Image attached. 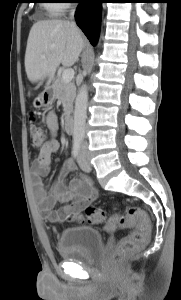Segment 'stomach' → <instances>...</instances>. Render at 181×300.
<instances>
[{"mask_svg":"<svg viewBox=\"0 0 181 300\" xmlns=\"http://www.w3.org/2000/svg\"><path fill=\"white\" fill-rule=\"evenodd\" d=\"M55 100V93L53 87L45 89L37 98H35L33 105L36 108L48 107Z\"/></svg>","mask_w":181,"mask_h":300,"instance_id":"obj_1","label":"stomach"}]
</instances>
